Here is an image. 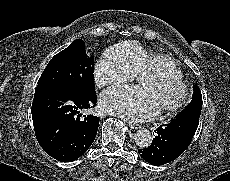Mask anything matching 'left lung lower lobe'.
Wrapping results in <instances>:
<instances>
[{"mask_svg":"<svg viewBox=\"0 0 230 181\" xmlns=\"http://www.w3.org/2000/svg\"><path fill=\"white\" fill-rule=\"evenodd\" d=\"M199 117L193 113L179 114L170 123L160 125L154 130L156 135L152 144L138 153L146 162L156 166L175 160L190 145Z\"/></svg>","mask_w":230,"mask_h":181,"instance_id":"left-lung-lower-lobe-1","label":"left lung lower lobe"}]
</instances>
